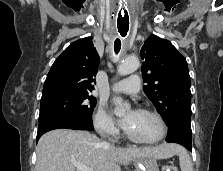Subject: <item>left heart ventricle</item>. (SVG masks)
<instances>
[{
    "label": "left heart ventricle",
    "instance_id": "left-heart-ventricle-1",
    "mask_svg": "<svg viewBox=\"0 0 223 171\" xmlns=\"http://www.w3.org/2000/svg\"><path fill=\"white\" fill-rule=\"evenodd\" d=\"M126 131L139 140H153L160 132L157 120L147 114L135 112Z\"/></svg>",
    "mask_w": 223,
    "mask_h": 171
}]
</instances>
